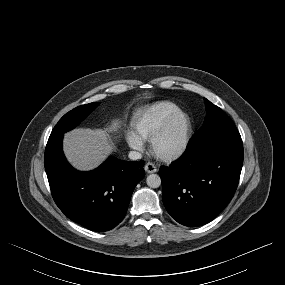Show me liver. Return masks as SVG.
<instances>
[{
    "instance_id": "liver-1",
    "label": "liver",
    "mask_w": 285,
    "mask_h": 285,
    "mask_svg": "<svg viewBox=\"0 0 285 285\" xmlns=\"http://www.w3.org/2000/svg\"><path fill=\"white\" fill-rule=\"evenodd\" d=\"M118 121L106 129L77 128L65 134L64 152L69 162L79 170L97 167L112 152L113 144L107 131L116 130Z\"/></svg>"
}]
</instances>
